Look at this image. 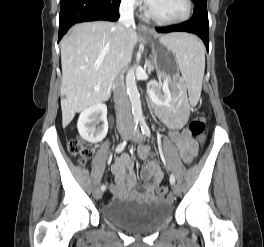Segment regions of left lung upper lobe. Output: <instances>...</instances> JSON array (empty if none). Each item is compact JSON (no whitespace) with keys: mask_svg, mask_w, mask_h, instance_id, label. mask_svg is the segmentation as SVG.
Here are the masks:
<instances>
[{"mask_svg":"<svg viewBox=\"0 0 264 247\" xmlns=\"http://www.w3.org/2000/svg\"><path fill=\"white\" fill-rule=\"evenodd\" d=\"M196 8H207V0H192Z\"/></svg>","mask_w":264,"mask_h":247,"instance_id":"left-lung-upper-lobe-1","label":"left lung upper lobe"}]
</instances>
